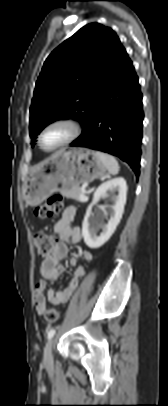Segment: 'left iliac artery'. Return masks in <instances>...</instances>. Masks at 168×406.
<instances>
[{
	"instance_id": "obj_1",
	"label": "left iliac artery",
	"mask_w": 168,
	"mask_h": 406,
	"mask_svg": "<svg viewBox=\"0 0 168 406\" xmlns=\"http://www.w3.org/2000/svg\"><path fill=\"white\" fill-rule=\"evenodd\" d=\"M55 332H56V330L53 328V329H50L49 331H48V333H47V338L48 339H51L54 335H55Z\"/></svg>"
}]
</instances>
